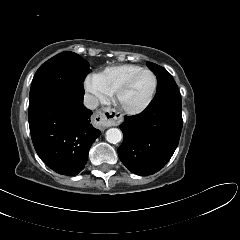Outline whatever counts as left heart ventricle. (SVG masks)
I'll return each mask as SVG.
<instances>
[{"label": "left heart ventricle", "mask_w": 240, "mask_h": 240, "mask_svg": "<svg viewBox=\"0 0 240 240\" xmlns=\"http://www.w3.org/2000/svg\"><path fill=\"white\" fill-rule=\"evenodd\" d=\"M154 87V78L150 73L141 74L122 96V103L127 107H139L150 97Z\"/></svg>", "instance_id": "obj_1"}]
</instances>
